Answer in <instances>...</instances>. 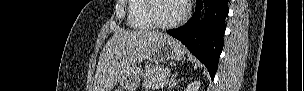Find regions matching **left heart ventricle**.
<instances>
[{
    "label": "left heart ventricle",
    "instance_id": "left-heart-ventricle-1",
    "mask_svg": "<svg viewBox=\"0 0 304 91\" xmlns=\"http://www.w3.org/2000/svg\"><path fill=\"white\" fill-rule=\"evenodd\" d=\"M184 6L178 0H160L155 4V14L162 22H171L177 19L183 12Z\"/></svg>",
    "mask_w": 304,
    "mask_h": 91
}]
</instances>
